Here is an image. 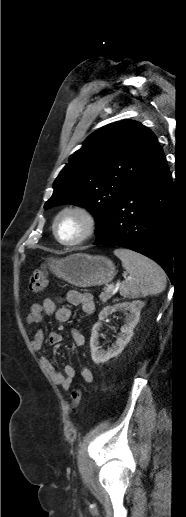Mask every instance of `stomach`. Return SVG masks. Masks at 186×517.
I'll list each match as a JSON object with an SVG mask.
<instances>
[{
	"instance_id": "obj_1",
	"label": "stomach",
	"mask_w": 186,
	"mask_h": 517,
	"mask_svg": "<svg viewBox=\"0 0 186 517\" xmlns=\"http://www.w3.org/2000/svg\"><path fill=\"white\" fill-rule=\"evenodd\" d=\"M48 266L58 278L77 287L105 285L116 274L110 259L85 253L71 254L62 259L49 258Z\"/></svg>"
}]
</instances>
